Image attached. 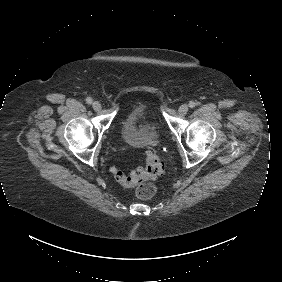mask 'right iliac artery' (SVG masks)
Wrapping results in <instances>:
<instances>
[{"label": "right iliac artery", "instance_id": "right-iliac-artery-1", "mask_svg": "<svg viewBox=\"0 0 282 282\" xmlns=\"http://www.w3.org/2000/svg\"><path fill=\"white\" fill-rule=\"evenodd\" d=\"M86 102H87L88 104H91V103H92V99H91L90 97H88V98L86 99Z\"/></svg>", "mask_w": 282, "mask_h": 282}]
</instances>
